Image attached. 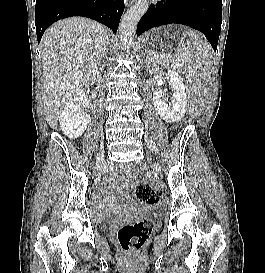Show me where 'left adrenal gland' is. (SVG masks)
I'll return each mask as SVG.
<instances>
[{
  "instance_id": "obj_1",
  "label": "left adrenal gland",
  "mask_w": 265,
  "mask_h": 273,
  "mask_svg": "<svg viewBox=\"0 0 265 273\" xmlns=\"http://www.w3.org/2000/svg\"><path fill=\"white\" fill-rule=\"evenodd\" d=\"M145 58V54H143V58L142 59H144ZM145 62H146V64H150V59H145Z\"/></svg>"
}]
</instances>
